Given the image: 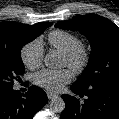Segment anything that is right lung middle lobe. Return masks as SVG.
<instances>
[{
    "mask_svg": "<svg viewBox=\"0 0 119 119\" xmlns=\"http://www.w3.org/2000/svg\"><path fill=\"white\" fill-rule=\"evenodd\" d=\"M49 26L50 23L40 26L21 25L10 29L0 38V90L13 87V81L20 80L19 76L25 71L20 55L22 47Z\"/></svg>",
    "mask_w": 119,
    "mask_h": 119,
    "instance_id": "right-lung-middle-lobe-1",
    "label": "right lung middle lobe"
}]
</instances>
